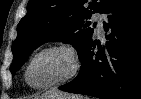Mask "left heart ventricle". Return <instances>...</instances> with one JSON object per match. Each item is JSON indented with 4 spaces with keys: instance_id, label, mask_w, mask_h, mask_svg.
Segmentation results:
<instances>
[{
    "instance_id": "obj_1",
    "label": "left heart ventricle",
    "mask_w": 141,
    "mask_h": 99,
    "mask_svg": "<svg viewBox=\"0 0 141 99\" xmlns=\"http://www.w3.org/2000/svg\"><path fill=\"white\" fill-rule=\"evenodd\" d=\"M72 69L69 54L62 50L48 51L40 55L33 63L29 77L34 85H46L67 76Z\"/></svg>"
}]
</instances>
